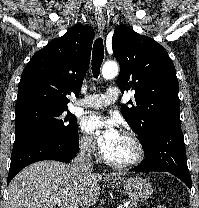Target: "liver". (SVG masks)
Wrapping results in <instances>:
<instances>
[{"instance_id": "obj_1", "label": "liver", "mask_w": 199, "mask_h": 208, "mask_svg": "<svg viewBox=\"0 0 199 208\" xmlns=\"http://www.w3.org/2000/svg\"><path fill=\"white\" fill-rule=\"evenodd\" d=\"M101 180L100 174L80 172L62 162L33 163L9 184L8 208H88L100 196Z\"/></svg>"}]
</instances>
